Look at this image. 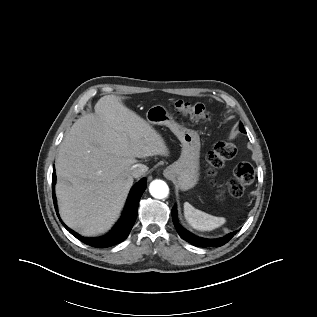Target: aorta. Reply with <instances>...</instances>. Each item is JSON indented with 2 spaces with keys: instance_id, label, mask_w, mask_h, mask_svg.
Instances as JSON below:
<instances>
[{
  "instance_id": "762f6f07",
  "label": "aorta",
  "mask_w": 317,
  "mask_h": 317,
  "mask_svg": "<svg viewBox=\"0 0 317 317\" xmlns=\"http://www.w3.org/2000/svg\"><path fill=\"white\" fill-rule=\"evenodd\" d=\"M150 194L156 199H165L169 194V187L162 180H153L149 186Z\"/></svg>"
}]
</instances>
